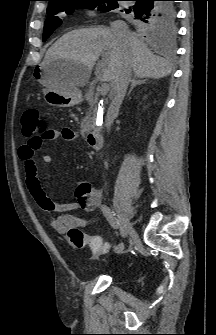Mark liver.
Instances as JSON below:
<instances>
[{"label":"liver","mask_w":216,"mask_h":335,"mask_svg":"<svg viewBox=\"0 0 216 335\" xmlns=\"http://www.w3.org/2000/svg\"><path fill=\"white\" fill-rule=\"evenodd\" d=\"M101 55L95 75L110 83L111 94H114L115 80L126 63L137 77L159 79L171 73L170 64L154 55L143 41L130 35L127 41L119 42L107 27L77 29L64 34L47 50L42 64L49 65L57 60L79 63L66 76L67 82L78 90V86L88 83Z\"/></svg>","instance_id":"6515ba94"}]
</instances>
